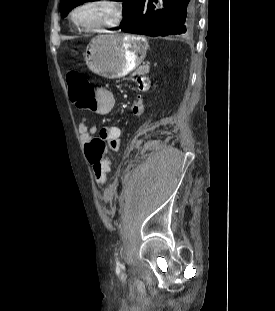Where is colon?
Masks as SVG:
<instances>
[{"label":"colon","mask_w":275,"mask_h":311,"mask_svg":"<svg viewBox=\"0 0 275 311\" xmlns=\"http://www.w3.org/2000/svg\"><path fill=\"white\" fill-rule=\"evenodd\" d=\"M70 99L78 108L90 105L95 98L94 87L89 80L81 73L71 72L67 76ZM110 143L103 137L93 139L86 146V156L92 166L95 179L103 182L110 171L111 162L107 156Z\"/></svg>","instance_id":"1"}]
</instances>
